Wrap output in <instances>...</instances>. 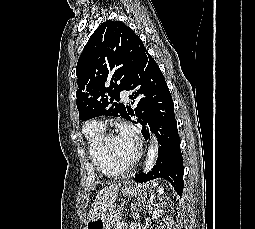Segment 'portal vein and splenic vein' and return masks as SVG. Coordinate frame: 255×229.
<instances>
[{
    "label": "portal vein and splenic vein",
    "instance_id": "portal-vein-and-splenic-vein-1",
    "mask_svg": "<svg viewBox=\"0 0 255 229\" xmlns=\"http://www.w3.org/2000/svg\"><path fill=\"white\" fill-rule=\"evenodd\" d=\"M119 225L122 226V227H125V226H127V223H121Z\"/></svg>",
    "mask_w": 255,
    "mask_h": 229
}]
</instances>
